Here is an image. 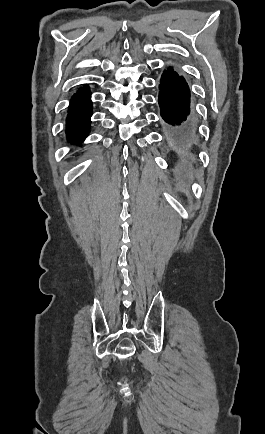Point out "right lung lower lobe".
I'll use <instances>...</instances> for the list:
<instances>
[{"instance_id":"98d812e1","label":"right lung lower lobe","mask_w":265,"mask_h":434,"mask_svg":"<svg viewBox=\"0 0 265 434\" xmlns=\"http://www.w3.org/2000/svg\"><path fill=\"white\" fill-rule=\"evenodd\" d=\"M92 102L89 87L79 88L70 101L66 121V135L69 142L80 144L89 133L92 115Z\"/></svg>"}]
</instances>
